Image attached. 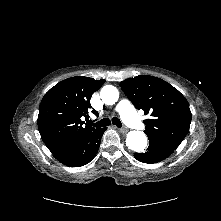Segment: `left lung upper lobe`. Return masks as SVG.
Segmentation results:
<instances>
[{
	"mask_svg": "<svg viewBox=\"0 0 221 221\" xmlns=\"http://www.w3.org/2000/svg\"><path fill=\"white\" fill-rule=\"evenodd\" d=\"M120 86L137 109L151 113L144 121L149 144L176 149L189 132L191 111L186 98L166 81L147 75L128 78Z\"/></svg>",
	"mask_w": 221,
	"mask_h": 221,
	"instance_id": "1",
	"label": "left lung upper lobe"
}]
</instances>
